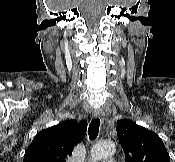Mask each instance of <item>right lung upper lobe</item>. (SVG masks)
<instances>
[{"instance_id":"obj_1","label":"right lung upper lobe","mask_w":175,"mask_h":162,"mask_svg":"<svg viewBox=\"0 0 175 162\" xmlns=\"http://www.w3.org/2000/svg\"><path fill=\"white\" fill-rule=\"evenodd\" d=\"M86 130L85 121L65 120L40 131L25 151L23 162H66Z\"/></svg>"}]
</instances>
